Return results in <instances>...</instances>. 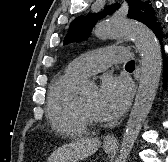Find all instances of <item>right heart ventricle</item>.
<instances>
[{
  "label": "right heart ventricle",
  "instance_id": "1",
  "mask_svg": "<svg viewBox=\"0 0 168 162\" xmlns=\"http://www.w3.org/2000/svg\"><path fill=\"white\" fill-rule=\"evenodd\" d=\"M82 81L67 68L54 79L49 89L47 116L53 129L60 135L78 137L88 130L76 109L78 88Z\"/></svg>",
  "mask_w": 168,
  "mask_h": 162
}]
</instances>
